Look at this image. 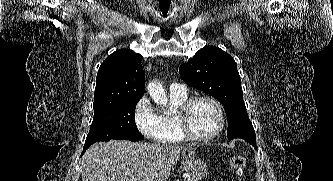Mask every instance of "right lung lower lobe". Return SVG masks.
Here are the masks:
<instances>
[{"label":"right lung lower lobe","instance_id":"98d812e1","mask_svg":"<svg viewBox=\"0 0 333 181\" xmlns=\"http://www.w3.org/2000/svg\"><path fill=\"white\" fill-rule=\"evenodd\" d=\"M89 146H84L82 154L86 151Z\"/></svg>","mask_w":333,"mask_h":181}]
</instances>
